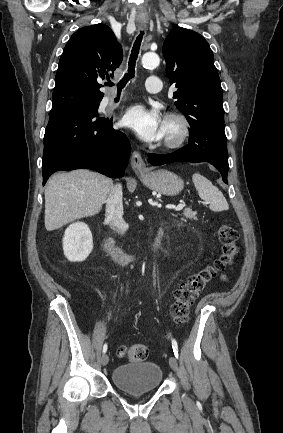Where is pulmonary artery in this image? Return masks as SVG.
<instances>
[{
    "label": "pulmonary artery",
    "instance_id": "1",
    "mask_svg": "<svg viewBox=\"0 0 283 433\" xmlns=\"http://www.w3.org/2000/svg\"><path fill=\"white\" fill-rule=\"evenodd\" d=\"M145 85L146 92H160L161 86L163 85V80L161 78H157V74L155 72H150L148 74V78L143 81Z\"/></svg>",
    "mask_w": 283,
    "mask_h": 433
}]
</instances>
